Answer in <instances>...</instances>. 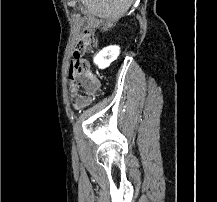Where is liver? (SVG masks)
I'll return each mask as SVG.
<instances>
[{
    "instance_id": "1",
    "label": "liver",
    "mask_w": 217,
    "mask_h": 202,
    "mask_svg": "<svg viewBox=\"0 0 217 202\" xmlns=\"http://www.w3.org/2000/svg\"><path fill=\"white\" fill-rule=\"evenodd\" d=\"M81 2L91 14L105 20V26L101 30L107 32L108 28H112L115 22L128 12L135 0H81Z\"/></svg>"
}]
</instances>
